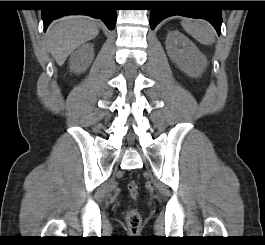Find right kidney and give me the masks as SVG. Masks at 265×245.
Here are the masks:
<instances>
[{
    "label": "right kidney",
    "instance_id": "ca27d5eb",
    "mask_svg": "<svg viewBox=\"0 0 265 245\" xmlns=\"http://www.w3.org/2000/svg\"><path fill=\"white\" fill-rule=\"evenodd\" d=\"M94 58V48L92 44H85L79 47L69 59L70 71L82 73L87 70Z\"/></svg>",
    "mask_w": 265,
    "mask_h": 245
}]
</instances>
